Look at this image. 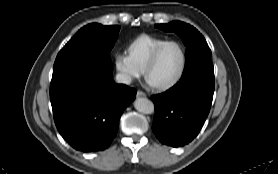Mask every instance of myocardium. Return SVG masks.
I'll return each mask as SVG.
<instances>
[{
  "instance_id": "1",
  "label": "myocardium",
  "mask_w": 278,
  "mask_h": 174,
  "mask_svg": "<svg viewBox=\"0 0 278 174\" xmlns=\"http://www.w3.org/2000/svg\"><path fill=\"white\" fill-rule=\"evenodd\" d=\"M169 44H176L179 46V48L181 50L182 59H181V64H180V68H179L178 72L171 80L164 82V83H152L155 88L160 89V90L169 89V88L173 87L175 84H177L185 71V67H186V63H187L186 49H185V46L181 42L176 41V40H170V41L163 42L161 45H159L154 50V52L152 53V55L150 56V58L147 62L146 66L144 68L145 78L147 80H149V73H150L151 69L153 68V66L155 65L160 52L163 50L164 47H166Z\"/></svg>"
}]
</instances>
